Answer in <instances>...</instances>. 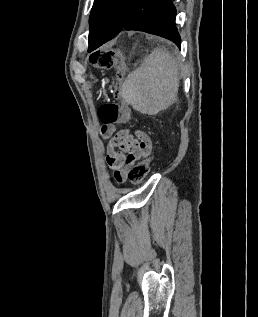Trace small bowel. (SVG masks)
Segmentation results:
<instances>
[{
    "label": "small bowel",
    "instance_id": "obj_1",
    "mask_svg": "<svg viewBox=\"0 0 258 317\" xmlns=\"http://www.w3.org/2000/svg\"><path fill=\"white\" fill-rule=\"evenodd\" d=\"M113 132L110 124H104L101 128L102 136L110 138L106 162L114 171L115 180L124 183L129 169L147 157L153 145L150 137L141 130L124 129L112 136Z\"/></svg>",
    "mask_w": 258,
    "mask_h": 317
}]
</instances>
